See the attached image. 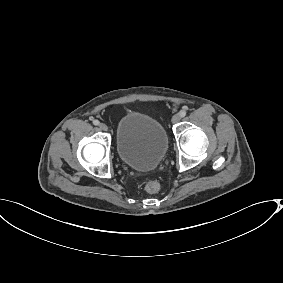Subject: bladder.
<instances>
[{"label":"bladder","mask_w":283,"mask_h":283,"mask_svg":"<svg viewBox=\"0 0 283 283\" xmlns=\"http://www.w3.org/2000/svg\"><path fill=\"white\" fill-rule=\"evenodd\" d=\"M168 143L162 123L140 112L124 114L115 128L117 154L132 169L156 168L166 155Z\"/></svg>","instance_id":"1"}]
</instances>
